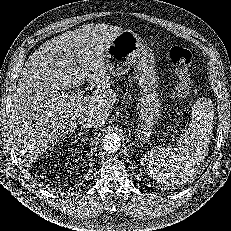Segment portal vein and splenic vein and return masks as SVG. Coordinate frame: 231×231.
I'll use <instances>...</instances> for the list:
<instances>
[{
	"label": "portal vein and splenic vein",
	"instance_id": "18ae733b",
	"mask_svg": "<svg viewBox=\"0 0 231 231\" xmlns=\"http://www.w3.org/2000/svg\"><path fill=\"white\" fill-rule=\"evenodd\" d=\"M81 95H82L81 92H77V93H75V94H73V95H71V96H68V95H66V94H63V97H64V98H69L71 101H73L75 97H78V96H81Z\"/></svg>",
	"mask_w": 231,
	"mask_h": 231
}]
</instances>
